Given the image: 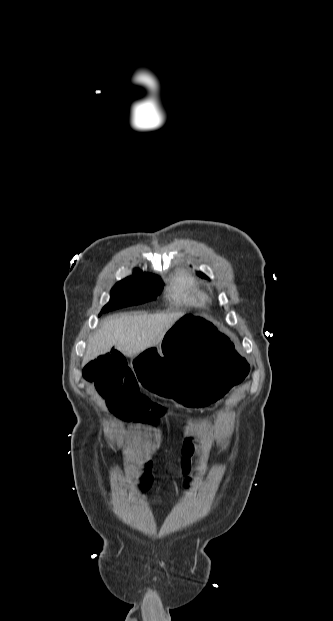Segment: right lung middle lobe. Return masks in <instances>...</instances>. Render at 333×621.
I'll return each mask as SVG.
<instances>
[{
	"instance_id": "obj_1",
	"label": "right lung middle lobe",
	"mask_w": 333,
	"mask_h": 621,
	"mask_svg": "<svg viewBox=\"0 0 333 621\" xmlns=\"http://www.w3.org/2000/svg\"><path fill=\"white\" fill-rule=\"evenodd\" d=\"M161 283L157 275L136 269L132 276L119 281L112 288L110 301L101 313L153 301L162 291Z\"/></svg>"
}]
</instances>
